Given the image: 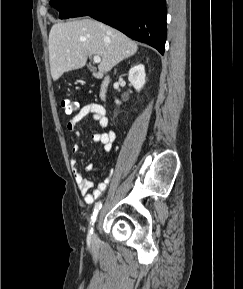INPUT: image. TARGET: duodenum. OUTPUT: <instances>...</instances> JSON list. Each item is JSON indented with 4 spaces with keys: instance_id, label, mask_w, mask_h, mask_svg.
I'll return each instance as SVG.
<instances>
[{
    "instance_id": "410a0bca",
    "label": "duodenum",
    "mask_w": 243,
    "mask_h": 289,
    "mask_svg": "<svg viewBox=\"0 0 243 289\" xmlns=\"http://www.w3.org/2000/svg\"><path fill=\"white\" fill-rule=\"evenodd\" d=\"M96 77L101 80L100 88H99V97L101 100H105L108 85H109V76L103 73H97Z\"/></svg>"
}]
</instances>
